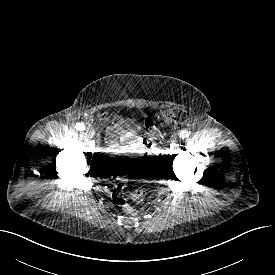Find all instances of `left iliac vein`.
<instances>
[{
    "mask_svg": "<svg viewBox=\"0 0 275 275\" xmlns=\"http://www.w3.org/2000/svg\"><path fill=\"white\" fill-rule=\"evenodd\" d=\"M172 141L175 143L178 142V136L177 135L172 136Z\"/></svg>",
    "mask_w": 275,
    "mask_h": 275,
    "instance_id": "obj_1",
    "label": "left iliac vein"
}]
</instances>
